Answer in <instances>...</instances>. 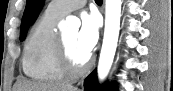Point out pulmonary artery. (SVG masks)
Masks as SVG:
<instances>
[{
  "mask_svg": "<svg viewBox=\"0 0 173 91\" xmlns=\"http://www.w3.org/2000/svg\"><path fill=\"white\" fill-rule=\"evenodd\" d=\"M86 3V0H56L49 4V11L59 16H66L74 10L82 8Z\"/></svg>",
  "mask_w": 173,
  "mask_h": 91,
  "instance_id": "obj_1",
  "label": "pulmonary artery"
}]
</instances>
